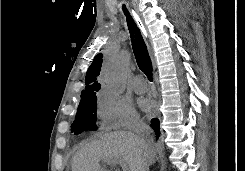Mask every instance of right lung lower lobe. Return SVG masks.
<instances>
[{"label": "right lung lower lobe", "mask_w": 245, "mask_h": 171, "mask_svg": "<svg viewBox=\"0 0 245 171\" xmlns=\"http://www.w3.org/2000/svg\"><path fill=\"white\" fill-rule=\"evenodd\" d=\"M151 127L155 132L156 139H158L160 136V124L157 118L151 120Z\"/></svg>", "instance_id": "98d812e1"}]
</instances>
